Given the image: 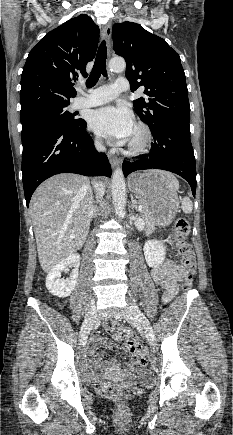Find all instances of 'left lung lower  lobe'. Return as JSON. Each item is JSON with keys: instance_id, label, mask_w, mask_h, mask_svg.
I'll list each match as a JSON object with an SVG mask.
<instances>
[{"instance_id": "0a47b994", "label": "left lung lower lobe", "mask_w": 233, "mask_h": 435, "mask_svg": "<svg viewBox=\"0 0 233 435\" xmlns=\"http://www.w3.org/2000/svg\"><path fill=\"white\" fill-rule=\"evenodd\" d=\"M151 132L154 143L150 153L134 162L124 161V175L144 169L167 170L183 177L190 184L195 197L196 163L189 124L168 125Z\"/></svg>"}]
</instances>
